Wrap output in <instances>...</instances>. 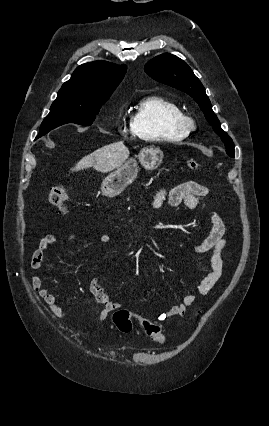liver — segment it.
I'll list each match as a JSON object with an SVG mask.
<instances>
[{
  "label": "liver",
  "mask_w": 269,
  "mask_h": 426,
  "mask_svg": "<svg viewBox=\"0 0 269 426\" xmlns=\"http://www.w3.org/2000/svg\"><path fill=\"white\" fill-rule=\"evenodd\" d=\"M129 154V149L123 142L105 145L83 157L71 171H80L93 167L99 172L108 173L120 167L129 158Z\"/></svg>",
  "instance_id": "1"
}]
</instances>
